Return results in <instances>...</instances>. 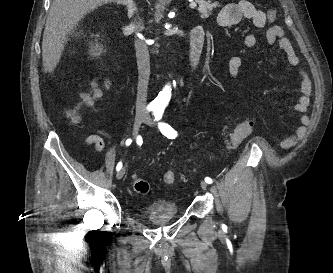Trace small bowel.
I'll return each instance as SVG.
<instances>
[{
	"instance_id": "obj_1",
	"label": "small bowel",
	"mask_w": 333,
	"mask_h": 273,
	"mask_svg": "<svg viewBox=\"0 0 333 273\" xmlns=\"http://www.w3.org/2000/svg\"><path fill=\"white\" fill-rule=\"evenodd\" d=\"M265 12L255 8L249 1L241 0L235 3H229L222 8L218 15V25L221 27H234L237 26L243 18L251 21L256 28H265L267 23L265 22ZM244 44L247 47H253L257 44V38L254 34H246L244 36ZM267 41L269 44L278 43L279 47L285 52L288 62L297 69V75L301 85V100L296 107V110L303 112L306 109V105L309 101L308 96V76L306 72L299 67V58L295 54L289 40L284 36V32L279 25L273 24L267 29ZM243 65V59L239 56H234L229 60L228 70L231 77L238 83H240V68ZM255 123L254 119H248ZM307 118L302 117V121L305 122ZM303 129L299 128L296 135L288 138L284 142V147H289L295 144L298 137L302 134ZM86 146H94L98 153H101L105 149V141L99 134H91L85 140Z\"/></svg>"
}]
</instances>
